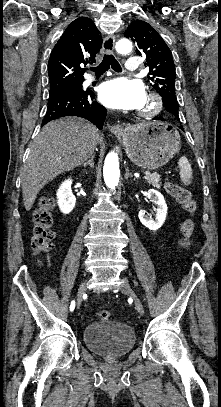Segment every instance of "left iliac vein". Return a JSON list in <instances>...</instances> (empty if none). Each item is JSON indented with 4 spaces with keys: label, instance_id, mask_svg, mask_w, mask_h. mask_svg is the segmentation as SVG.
<instances>
[{
    "label": "left iliac vein",
    "instance_id": "4c4485c4",
    "mask_svg": "<svg viewBox=\"0 0 221 407\" xmlns=\"http://www.w3.org/2000/svg\"><path fill=\"white\" fill-rule=\"evenodd\" d=\"M120 289H121L122 292L126 293L128 296H130L133 299L137 311L139 312L140 315L143 316L144 315V307H143L140 299L138 298V296L134 292V290L130 287L129 283L127 281L123 280V283L120 286Z\"/></svg>",
    "mask_w": 221,
    "mask_h": 407
}]
</instances>
